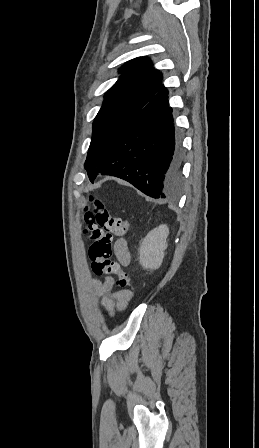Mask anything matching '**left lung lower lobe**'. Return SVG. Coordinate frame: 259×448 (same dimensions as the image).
<instances>
[{"label": "left lung lower lobe", "instance_id": "0a47b994", "mask_svg": "<svg viewBox=\"0 0 259 448\" xmlns=\"http://www.w3.org/2000/svg\"><path fill=\"white\" fill-rule=\"evenodd\" d=\"M168 90L162 84L140 111L91 161L93 183L97 174L124 179L153 198H165L178 187L183 151L175 132Z\"/></svg>", "mask_w": 259, "mask_h": 448}]
</instances>
